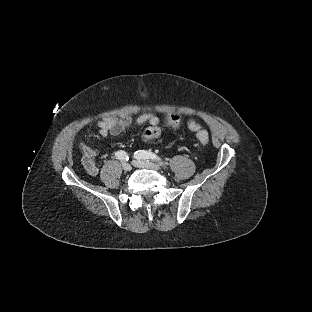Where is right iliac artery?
Instances as JSON below:
<instances>
[{"mask_svg":"<svg viewBox=\"0 0 312 312\" xmlns=\"http://www.w3.org/2000/svg\"><path fill=\"white\" fill-rule=\"evenodd\" d=\"M115 156H116L117 159H120L122 161H128L129 160L128 154L125 151H123V150L117 151L115 153Z\"/></svg>","mask_w":312,"mask_h":312,"instance_id":"right-iliac-artery-1","label":"right iliac artery"}]
</instances>
